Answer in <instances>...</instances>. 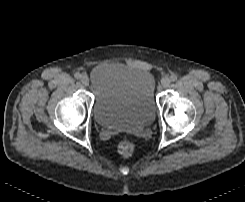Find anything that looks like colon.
Wrapping results in <instances>:
<instances>
[{
	"label": "colon",
	"instance_id": "colon-1",
	"mask_svg": "<svg viewBox=\"0 0 245 202\" xmlns=\"http://www.w3.org/2000/svg\"><path fill=\"white\" fill-rule=\"evenodd\" d=\"M135 150V145L130 140L123 139L118 144V152L122 157H132L135 153Z\"/></svg>",
	"mask_w": 245,
	"mask_h": 202
}]
</instances>
